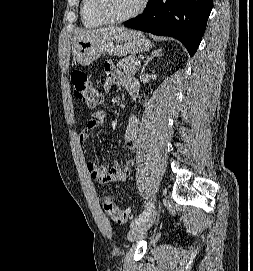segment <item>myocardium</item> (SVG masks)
<instances>
[{
	"label": "myocardium",
	"instance_id": "f54148a6",
	"mask_svg": "<svg viewBox=\"0 0 253 271\" xmlns=\"http://www.w3.org/2000/svg\"><path fill=\"white\" fill-rule=\"evenodd\" d=\"M94 9L97 16L108 24H118L139 16L145 9L148 0H141L138 6L129 14L122 17H113L105 8V0H94Z\"/></svg>",
	"mask_w": 253,
	"mask_h": 271
}]
</instances>
